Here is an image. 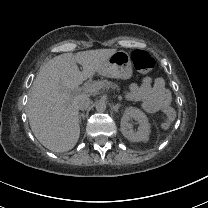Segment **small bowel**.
Returning a JSON list of instances; mask_svg holds the SVG:
<instances>
[{
  "label": "small bowel",
  "instance_id": "small-bowel-1",
  "mask_svg": "<svg viewBox=\"0 0 208 208\" xmlns=\"http://www.w3.org/2000/svg\"><path fill=\"white\" fill-rule=\"evenodd\" d=\"M127 97L140 102L142 108L148 113L162 111L170 103V93L165 87L162 78L153 79L150 76L143 78L140 85L133 84L127 91Z\"/></svg>",
  "mask_w": 208,
  "mask_h": 208
}]
</instances>
